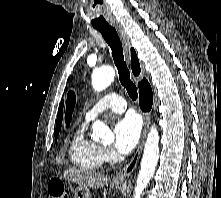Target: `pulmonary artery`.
<instances>
[{
  "instance_id": "obj_1",
  "label": "pulmonary artery",
  "mask_w": 221,
  "mask_h": 198,
  "mask_svg": "<svg viewBox=\"0 0 221 198\" xmlns=\"http://www.w3.org/2000/svg\"><path fill=\"white\" fill-rule=\"evenodd\" d=\"M126 107L127 104L120 95L109 93L93 105V107L86 113L85 120H94L100 113L108 109L116 113H122L125 111Z\"/></svg>"
}]
</instances>
